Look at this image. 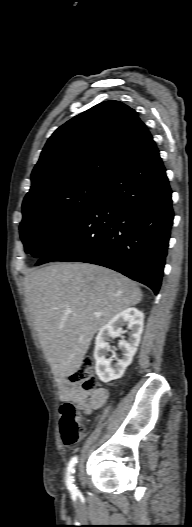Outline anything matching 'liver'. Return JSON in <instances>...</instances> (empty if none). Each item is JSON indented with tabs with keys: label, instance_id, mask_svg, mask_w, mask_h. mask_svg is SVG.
Wrapping results in <instances>:
<instances>
[{
	"label": "liver",
	"instance_id": "obj_1",
	"mask_svg": "<svg viewBox=\"0 0 192 527\" xmlns=\"http://www.w3.org/2000/svg\"><path fill=\"white\" fill-rule=\"evenodd\" d=\"M24 291L45 357L59 378L77 372L95 333L142 299L140 288L127 277L84 263L32 271Z\"/></svg>",
	"mask_w": 192,
	"mask_h": 527
}]
</instances>
